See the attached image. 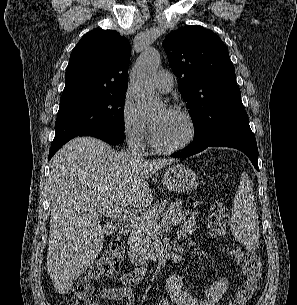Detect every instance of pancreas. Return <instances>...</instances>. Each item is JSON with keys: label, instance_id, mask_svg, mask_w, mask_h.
I'll use <instances>...</instances> for the list:
<instances>
[{"label": "pancreas", "instance_id": "1", "mask_svg": "<svg viewBox=\"0 0 297 305\" xmlns=\"http://www.w3.org/2000/svg\"><path fill=\"white\" fill-rule=\"evenodd\" d=\"M181 201L176 204L166 201L154 204L140 218L132 222L130 244L135 253L145 259L155 258L154 236L158 234L157 220L159 216L167 220L171 225H179L186 221L189 211H182Z\"/></svg>", "mask_w": 297, "mask_h": 305}]
</instances>
